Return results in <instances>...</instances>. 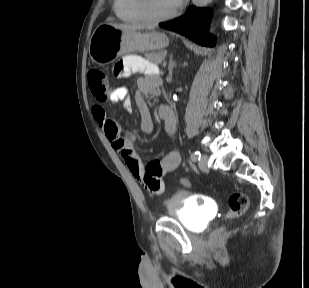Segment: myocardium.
Wrapping results in <instances>:
<instances>
[{
    "instance_id": "f54148a6",
    "label": "myocardium",
    "mask_w": 309,
    "mask_h": 288,
    "mask_svg": "<svg viewBox=\"0 0 309 288\" xmlns=\"http://www.w3.org/2000/svg\"><path fill=\"white\" fill-rule=\"evenodd\" d=\"M151 0H137L138 8L142 16L147 22L156 23L165 21L173 18L179 12V7L177 6L174 10L166 14H156L151 5Z\"/></svg>"
}]
</instances>
